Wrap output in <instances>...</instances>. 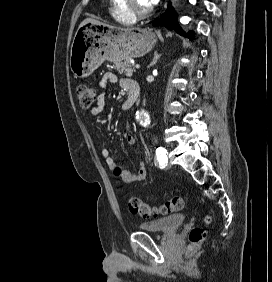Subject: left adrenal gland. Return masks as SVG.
<instances>
[{
  "mask_svg": "<svg viewBox=\"0 0 272 282\" xmlns=\"http://www.w3.org/2000/svg\"><path fill=\"white\" fill-rule=\"evenodd\" d=\"M160 57H161V54H158L157 51H155L153 59H152L151 63L148 65V67L155 65Z\"/></svg>",
  "mask_w": 272,
  "mask_h": 282,
  "instance_id": "a2214340",
  "label": "left adrenal gland"
}]
</instances>
